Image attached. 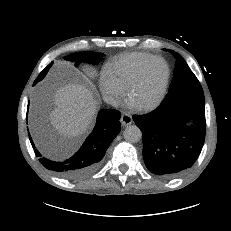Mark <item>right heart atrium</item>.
Here are the masks:
<instances>
[{"label": "right heart atrium", "instance_id": "right-heart-atrium-1", "mask_svg": "<svg viewBox=\"0 0 231 231\" xmlns=\"http://www.w3.org/2000/svg\"><path fill=\"white\" fill-rule=\"evenodd\" d=\"M99 85L103 96L113 105H117L125 94V89L119 86L105 72L100 77Z\"/></svg>", "mask_w": 231, "mask_h": 231}]
</instances>
